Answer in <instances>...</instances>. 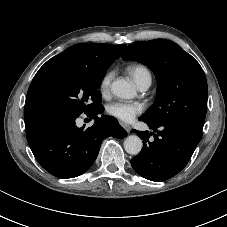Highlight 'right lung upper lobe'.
Returning a JSON list of instances; mask_svg holds the SVG:
<instances>
[{"mask_svg": "<svg viewBox=\"0 0 227 227\" xmlns=\"http://www.w3.org/2000/svg\"><path fill=\"white\" fill-rule=\"evenodd\" d=\"M126 45L83 43L74 45L48 60L36 73L28 89L24 118L26 131L48 118L37 97V87L42 75L52 66H78L88 69H103L118 59Z\"/></svg>", "mask_w": 227, "mask_h": 227, "instance_id": "obj_1", "label": "right lung upper lobe"}]
</instances>
